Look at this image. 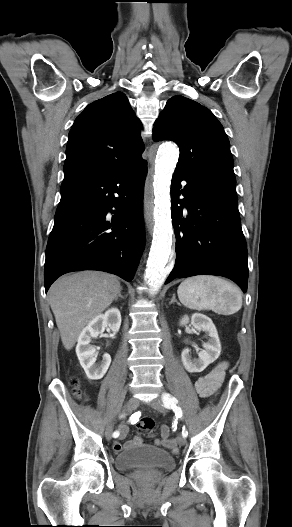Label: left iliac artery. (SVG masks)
<instances>
[{
  "label": "left iliac artery",
  "mask_w": 292,
  "mask_h": 527,
  "mask_svg": "<svg viewBox=\"0 0 292 527\" xmlns=\"http://www.w3.org/2000/svg\"><path fill=\"white\" fill-rule=\"evenodd\" d=\"M162 401H163L164 407L168 409H172L176 417L182 418L183 412H182V409L178 405V400L175 397L171 396L169 393H164L162 394ZM187 435H188V431L186 430L185 427H183L182 436L187 437Z\"/></svg>",
  "instance_id": "obj_1"
}]
</instances>
